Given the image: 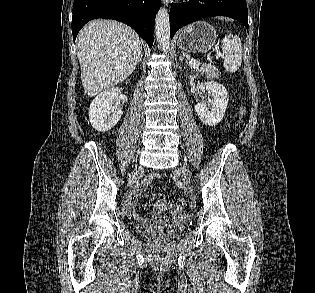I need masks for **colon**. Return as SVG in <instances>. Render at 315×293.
<instances>
[{"instance_id":"1","label":"colon","mask_w":315,"mask_h":293,"mask_svg":"<svg viewBox=\"0 0 315 293\" xmlns=\"http://www.w3.org/2000/svg\"><path fill=\"white\" fill-rule=\"evenodd\" d=\"M240 114H241V116L243 117V118H246L247 116H248V114H249V107H248V105H241V107H240ZM238 125L240 126V127H243L244 125H245V122H244V120H240L239 122H238ZM176 206H177V208H178V211H182L183 209H185L186 207H187V201L184 199V198H179V199H177V201H176ZM183 218V217H182Z\"/></svg>"}]
</instances>
